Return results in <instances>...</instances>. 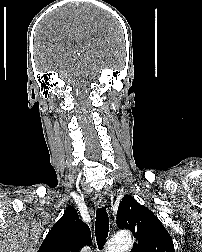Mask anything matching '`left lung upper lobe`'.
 Instances as JSON below:
<instances>
[{
	"label": "left lung upper lobe",
	"instance_id": "5c2ea615",
	"mask_svg": "<svg viewBox=\"0 0 202 252\" xmlns=\"http://www.w3.org/2000/svg\"><path fill=\"white\" fill-rule=\"evenodd\" d=\"M117 226L133 232L137 243L131 252H175L172 238L157 216L130 195H124L119 204Z\"/></svg>",
	"mask_w": 202,
	"mask_h": 252
}]
</instances>
